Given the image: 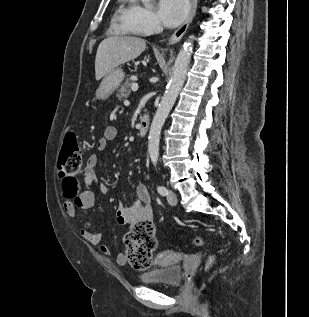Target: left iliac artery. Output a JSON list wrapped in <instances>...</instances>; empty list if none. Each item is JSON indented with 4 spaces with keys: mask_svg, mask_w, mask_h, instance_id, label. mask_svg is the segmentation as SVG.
<instances>
[{
    "mask_svg": "<svg viewBox=\"0 0 309 317\" xmlns=\"http://www.w3.org/2000/svg\"><path fill=\"white\" fill-rule=\"evenodd\" d=\"M157 191H158V193H159L160 195H162V196H165V195H167V193H168L166 187H164V186H158V187H157Z\"/></svg>",
    "mask_w": 309,
    "mask_h": 317,
    "instance_id": "44dca946",
    "label": "left iliac artery"
}]
</instances>
